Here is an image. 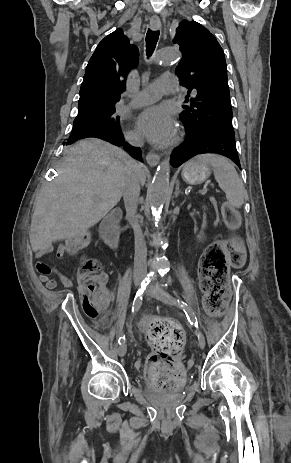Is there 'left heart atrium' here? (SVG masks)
I'll return each instance as SVG.
<instances>
[{
  "instance_id": "39dd6f15",
  "label": "left heart atrium",
  "mask_w": 291,
  "mask_h": 463,
  "mask_svg": "<svg viewBox=\"0 0 291 463\" xmlns=\"http://www.w3.org/2000/svg\"><path fill=\"white\" fill-rule=\"evenodd\" d=\"M139 132L153 143H164L173 134L174 126L170 114L162 106H152L137 117Z\"/></svg>"
}]
</instances>
